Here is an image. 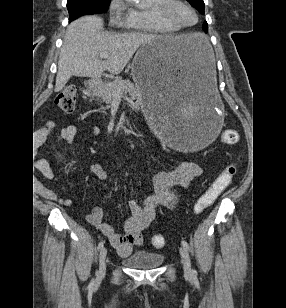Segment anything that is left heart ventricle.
Segmentation results:
<instances>
[{"mask_svg":"<svg viewBox=\"0 0 286 308\" xmlns=\"http://www.w3.org/2000/svg\"><path fill=\"white\" fill-rule=\"evenodd\" d=\"M175 15L177 17V19L185 25H190L193 24L195 22V15L194 13L189 10L188 8L179 5L175 8Z\"/></svg>","mask_w":286,"mask_h":308,"instance_id":"b2bd125f","label":"left heart ventricle"}]
</instances>
